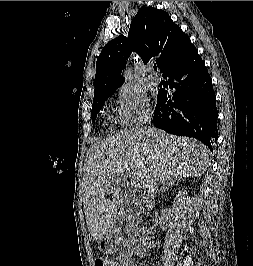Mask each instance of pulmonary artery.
<instances>
[{
	"label": "pulmonary artery",
	"mask_w": 253,
	"mask_h": 266,
	"mask_svg": "<svg viewBox=\"0 0 253 266\" xmlns=\"http://www.w3.org/2000/svg\"><path fill=\"white\" fill-rule=\"evenodd\" d=\"M148 71L150 73V80L153 83L158 84L160 82L159 76L153 72L152 67H148Z\"/></svg>",
	"instance_id": "e3ab8cb5"
}]
</instances>
